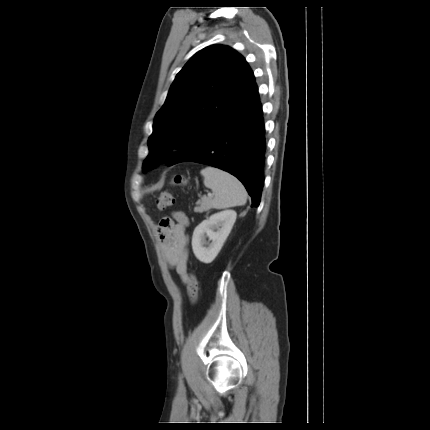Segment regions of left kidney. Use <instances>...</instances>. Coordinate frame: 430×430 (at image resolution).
<instances>
[{"instance_id": "left-kidney-1", "label": "left kidney", "mask_w": 430, "mask_h": 430, "mask_svg": "<svg viewBox=\"0 0 430 430\" xmlns=\"http://www.w3.org/2000/svg\"><path fill=\"white\" fill-rule=\"evenodd\" d=\"M236 216L234 210L216 212L194 229L192 249L199 261L209 264L216 258L232 230ZM207 237L211 243L206 240Z\"/></svg>"}]
</instances>
